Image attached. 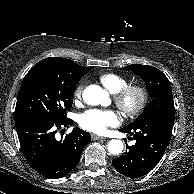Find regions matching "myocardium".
Instances as JSON below:
<instances>
[{
    "instance_id": "myocardium-1",
    "label": "myocardium",
    "mask_w": 194,
    "mask_h": 194,
    "mask_svg": "<svg viewBox=\"0 0 194 194\" xmlns=\"http://www.w3.org/2000/svg\"><path fill=\"white\" fill-rule=\"evenodd\" d=\"M135 96L134 103L130 102L131 96ZM115 105L127 117L138 116L145 108L148 101V90L141 84H128L113 94Z\"/></svg>"
}]
</instances>
